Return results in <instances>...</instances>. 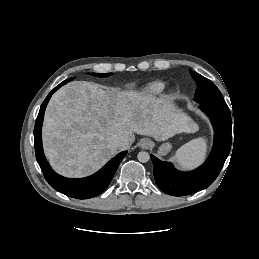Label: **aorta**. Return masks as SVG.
Instances as JSON below:
<instances>
[{"instance_id":"aorta-1","label":"aorta","mask_w":259,"mask_h":259,"mask_svg":"<svg viewBox=\"0 0 259 259\" xmlns=\"http://www.w3.org/2000/svg\"><path fill=\"white\" fill-rule=\"evenodd\" d=\"M137 158H138V160H139L140 162L146 163V162L149 161L150 155H149L148 152L141 151V152L138 153Z\"/></svg>"}]
</instances>
